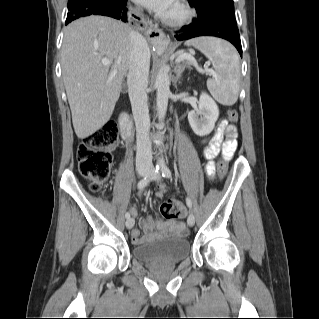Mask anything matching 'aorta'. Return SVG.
<instances>
[{
	"instance_id": "aorta-1",
	"label": "aorta",
	"mask_w": 319,
	"mask_h": 319,
	"mask_svg": "<svg viewBox=\"0 0 319 319\" xmlns=\"http://www.w3.org/2000/svg\"><path fill=\"white\" fill-rule=\"evenodd\" d=\"M155 87L157 90L156 103L158 120L162 123L166 115L168 98L170 95V78L167 67L163 66L159 70L155 81ZM160 163H163V160H160Z\"/></svg>"
}]
</instances>
